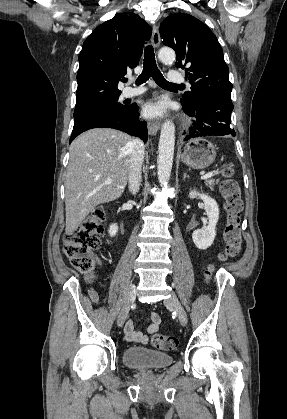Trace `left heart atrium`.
<instances>
[{
  "label": "left heart atrium",
  "instance_id": "left-heart-atrium-1",
  "mask_svg": "<svg viewBox=\"0 0 287 419\" xmlns=\"http://www.w3.org/2000/svg\"><path fill=\"white\" fill-rule=\"evenodd\" d=\"M166 103L163 100H155L146 104L143 113L146 117H155L160 115L165 109Z\"/></svg>",
  "mask_w": 287,
  "mask_h": 419
}]
</instances>
